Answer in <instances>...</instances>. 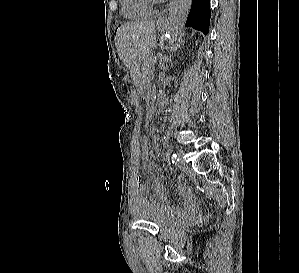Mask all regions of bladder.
I'll return each mask as SVG.
<instances>
[{"label": "bladder", "mask_w": 299, "mask_h": 273, "mask_svg": "<svg viewBox=\"0 0 299 273\" xmlns=\"http://www.w3.org/2000/svg\"><path fill=\"white\" fill-rule=\"evenodd\" d=\"M136 212L137 220L152 223L161 228L171 226L175 222V219L165 217L159 214L153 208H147L145 210H136Z\"/></svg>", "instance_id": "31cf9c89"}]
</instances>
